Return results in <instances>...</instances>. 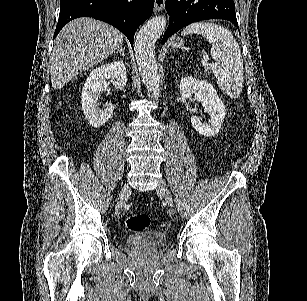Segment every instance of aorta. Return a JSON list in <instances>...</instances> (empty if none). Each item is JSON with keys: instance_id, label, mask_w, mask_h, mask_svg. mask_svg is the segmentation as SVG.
<instances>
[{"instance_id": "aorta-1", "label": "aorta", "mask_w": 307, "mask_h": 301, "mask_svg": "<svg viewBox=\"0 0 307 301\" xmlns=\"http://www.w3.org/2000/svg\"><path fill=\"white\" fill-rule=\"evenodd\" d=\"M166 24V16H153L141 26L134 42L135 58L142 82L149 96H153L155 100L160 96V76L154 46Z\"/></svg>"}]
</instances>
